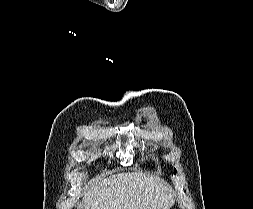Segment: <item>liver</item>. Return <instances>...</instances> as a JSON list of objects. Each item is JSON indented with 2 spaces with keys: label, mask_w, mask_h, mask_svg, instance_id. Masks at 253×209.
Here are the masks:
<instances>
[{
  "label": "liver",
  "mask_w": 253,
  "mask_h": 209,
  "mask_svg": "<svg viewBox=\"0 0 253 209\" xmlns=\"http://www.w3.org/2000/svg\"><path fill=\"white\" fill-rule=\"evenodd\" d=\"M83 202L84 209H169L174 192L159 177L122 173L88 191Z\"/></svg>",
  "instance_id": "1"
}]
</instances>
